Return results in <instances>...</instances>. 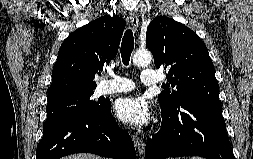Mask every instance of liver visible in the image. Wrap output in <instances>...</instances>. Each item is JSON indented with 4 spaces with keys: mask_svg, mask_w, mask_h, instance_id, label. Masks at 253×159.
Instances as JSON below:
<instances>
[{
    "mask_svg": "<svg viewBox=\"0 0 253 159\" xmlns=\"http://www.w3.org/2000/svg\"><path fill=\"white\" fill-rule=\"evenodd\" d=\"M62 159H105V158L95 156L93 154L82 153V154H73L70 156H66Z\"/></svg>",
    "mask_w": 253,
    "mask_h": 159,
    "instance_id": "obj_1",
    "label": "liver"
}]
</instances>
